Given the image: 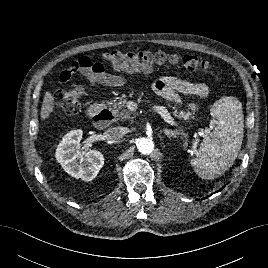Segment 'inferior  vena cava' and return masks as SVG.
<instances>
[{
    "instance_id": "602c4592",
    "label": "inferior vena cava",
    "mask_w": 268,
    "mask_h": 268,
    "mask_svg": "<svg viewBox=\"0 0 268 268\" xmlns=\"http://www.w3.org/2000/svg\"><path fill=\"white\" fill-rule=\"evenodd\" d=\"M105 134H106L107 139L118 140L123 137L124 132H123V128L119 126H112L106 130Z\"/></svg>"
}]
</instances>
